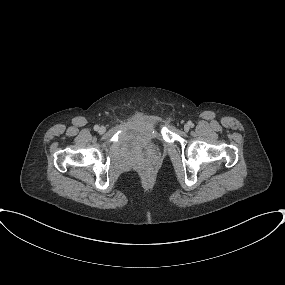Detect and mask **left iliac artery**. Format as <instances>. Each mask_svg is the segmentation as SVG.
Instances as JSON below:
<instances>
[{
	"label": "left iliac artery",
	"instance_id": "left-iliac-artery-1",
	"mask_svg": "<svg viewBox=\"0 0 285 285\" xmlns=\"http://www.w3.org/2000/svg\"><path fill=\"white\" fill-rule=\"evenodd\" d=\"M188 125L191 126V127H193L194 124H193L191 121H189V122H188Z\"/></svg>",
	"mask_w": 285,
	"mask_h": 285
}]
</instances>
